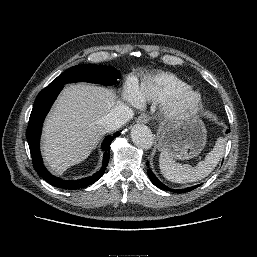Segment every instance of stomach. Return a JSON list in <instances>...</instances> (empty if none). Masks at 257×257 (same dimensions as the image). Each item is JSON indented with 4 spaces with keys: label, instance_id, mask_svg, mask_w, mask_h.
<instances>
[{
    "label": "stomach",
    "instance_id": "stomach-1",
    "mask_svg": "<svg viewBox=\"0 0 257 257\" xmlns=\"http://www.w3.org/2000/svg\"><path fill=\"white\" fill-rule=\"evenodd\" d=\"M206 129L196 116L166 125L160 134L158 146L172 158L187 160L197 156L206 144Z\"/></svg>",
    "mask_w": 257,
    "mask_h": 257
}]
</instances>
